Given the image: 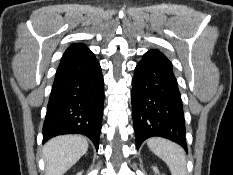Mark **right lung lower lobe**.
I'll return each instance as SVG.
<instances>
[{"label": "right lung lower lobe", "mask_w": 233, "mask_h": 175, "mask_svg": "<svg viewBox=\"0 0 233 175\" xmlns=\"http://www.w3.org/2000/svg\"><path fill=\"white\" fill-rule=\"evenodd\" d=\"M103 102L101 67L91 51L60 62L47 106L43 142L78 133L89 137L98 149Z\"/></svg>", "instance_id": "obj_1"}]
</instances>
